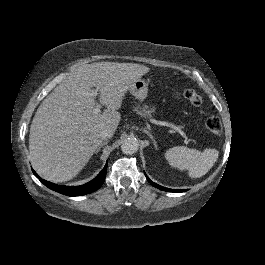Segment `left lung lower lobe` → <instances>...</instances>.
Instances as JSON below:
<instances>
[{
	"label": "left lung lower lobe",
	"mask_w": 265,
	"mask_h": 265,
	"mask_svg": "<svg viewBox=\"0 0 265 265\" xmlns=\"http://www.w3.org/2000/svg\"><path fill=\"white\" fill-rule=\"evenodd\" d=\"M145 175H146V174H145ZM146 178H147V180L149 181V183H150L151 185H153L154 187H156V188H158V189H161V190H164V191H168V192H184V191H185V190H178V189H169V188H165V187H162V186H160V185H158V184L152 182V181L148 178L147 175H146Z\"/></svg>",
	"instance_id": "left-lung-lower-lobe-1"
}]
</instances>
